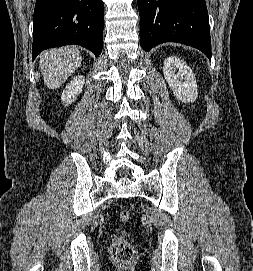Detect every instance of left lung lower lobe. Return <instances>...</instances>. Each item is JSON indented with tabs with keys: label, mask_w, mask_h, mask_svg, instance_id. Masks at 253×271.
<instances>
[{
	"label": "left lung lower lobe",
	"mask_w": 253,
	"mask_h": 271,
	"mask_svg": "<svg viewBox=\"0 0 253 271\" xmlns=\"http://www.w3.org/2000/svg\"><path fill=\"white\" fill-rule=\"evenodd\" d=\"M141 46L149 51L164 42L192 46L211 58L205 0H137Z\"/></svg>",
	"instance_id": "0a47b994"
}]
</instances>
